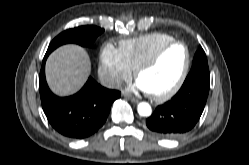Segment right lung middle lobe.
<instances>
[{
    "label": "right lung middle lobe",
    "mask_w": 249,
    "mask_h": 165,
    "mask_svg": "<svg viewBox=\"0 0 249 165\" xmlns=\"http://www.w3.org/2000/svg\"><path fill=\"white\" fill-rule=\"evenodd\" d=\"M103 31L104 29L96 26H80L68 29L54 38L48 47L47 53L50 54L54 49L66 43H76L90 47Z\"/></svg>",
    "instance_id": "obj_1"
}]
</instances>
